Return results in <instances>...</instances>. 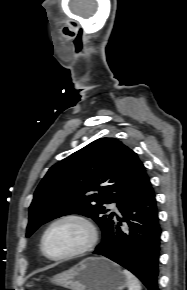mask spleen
Listing matches in <instances>:
<instances>
[{
	"instance_id": "3e777b00",
	"label": "spleen",
	"mask_w": 187,
	"mask_h": 290,
	"mask_svg": "<svg viewBox=\"0 0 187 290\" xmlns=\"http://www.w3.org/2000/svg\"><path fill=\"white\" fill-rule=\"evenodd\" d=\"M124 275L127 278L128 289L129 290H141V285L139 280L127 269L123 270Z\"/></svg>"
}]
</instances>
